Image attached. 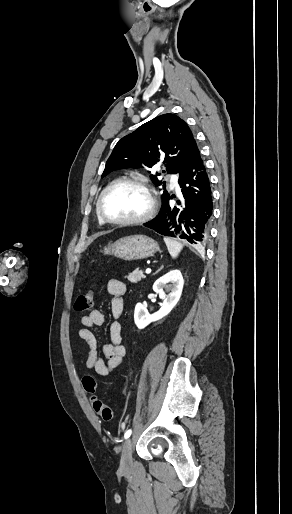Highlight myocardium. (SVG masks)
<instances>
[{"mask_svg": "<svg viewBox=\"0 0 292 514\" xmlns=\"http://www.w3.org/2000/svg\"><path fill=\"white\" fill-rule=\"evenodd\" d=\"M123 184H131V185H135V186L141 188L147 196L148 207H147V210L138 217H135L132 219H127V220H113V219H110L109 217H107L103 213V210H102L103 199L109 190H111L112 188H114L118 185H123ZM155 207H156V201H155V197L153 195L152 190L149 188L148 184L143 179H140L137 177H124V178H120V179H117V180L111 182L109 185H107L102 190V192L100 193L98 200H97L98 217L105 223L118 225V226L135 225V224H139V223H142V222L148 220L153 215V213L155 211Z\"/></svg>", "mask_w": 292, "mask_h": 514, "instance_id": "f54148a6", "label": "myocardium"}]
</instances>
